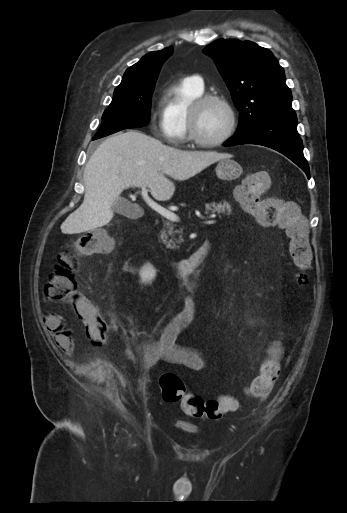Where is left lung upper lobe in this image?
Wrapping results in <instances>:
<instances>
[{
	"label": "left lung upper lobe",
	"instance_id": "1",
	"mask_svg": "<svg viewBox=\"0 0 347 513\" xmlns=\"http://www.w3.org/2000/svg\"><path fill=\"white\" fill-rule=\"evenodd\" d=\"M240 111L236 134L272 117L296 116L283 68L266 48L250 41L219 39L204 48Z\"/></svg>",
	"mask_w": 347,
	"mask_h": 513
}]
</instances>
